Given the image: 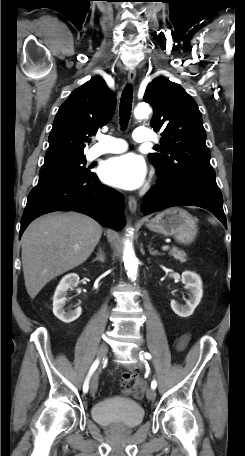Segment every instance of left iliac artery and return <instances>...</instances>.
<instances>
[{
    "mask_svg": "<svg viewBox=\"0 0 245 456\" xmlns=\"http://www.w3.org/2000/svg\"><path fill=\"white\" fill-rule=\"evenodd\" d=\"M143 357H145L146 359H151V354L148 352H144V353L140 352V358H143ZM156 387H157V382H156V380H153L151 382V388L155 389Z\"/></svg>",
    "mask_w": 245,
    "mask_h": 456,
    "instance_id": "1",
    "label": "left iliac artery"
}]
</instances>
